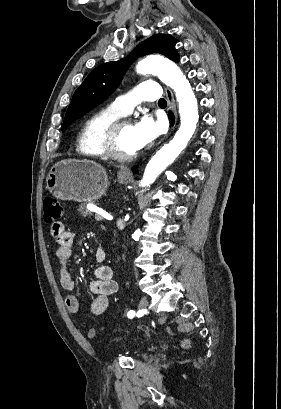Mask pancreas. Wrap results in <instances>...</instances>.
Segmentation results:
<instances>
[{"label": "pancreas", "instance_id": "cf45deb5", "mask_svg": "<svg viewBox=\"0 0 281 409\" xmlns=\"http://www.w3.org/2000/svg\"><path fill=\"white\" fill-rule=\"evenodd\" d=\"M80 215H83V217H88V209H86V205H79V209H78Z\"/></svg>", "mask_w": 281, "mask_h": 409}]
</instances>
